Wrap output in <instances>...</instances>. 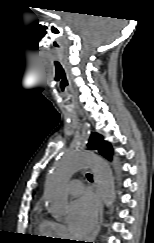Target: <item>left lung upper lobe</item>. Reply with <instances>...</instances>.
Listing matches in <instances>:
<instances>
[{"label": "left lung upper lobe", "mask_w": 154, "mask_h": 243, "mask_svg": "<svg viewBox=\"0 0 154 243\" xmlns=\"http://www.w3.org/2000/svg\"><path fill=\"white\" fill-rule=\"evenodd\" d=\"M103 142V143H102ZM88 147L91 149H98L99 152L108 159H111L112 147L110 143L103 141V137L97 133H93L90 137Z\"/></svg>", "instance_id": "obj_1"}]
</instances>
